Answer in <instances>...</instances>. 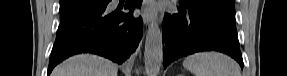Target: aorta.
Segmentation results:
<instances>
[{"label":"aorta","instance_id":"1","mask_svg":"<svg viewBox=\"0 0 287 76\" xmlns=\"http://www.w3.org/2000/svg\"><path fill=\"white\" fill-rule=\"evenodd\" d=\"M162 61V34L157 21L154 19L148 27L145 40L144 62L147 75L157 76L160 71Z\"/></svg>","mask_w":287,"mask_h":76}]
</instances>
